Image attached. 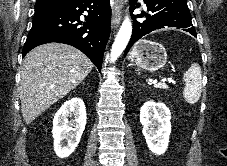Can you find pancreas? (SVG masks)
Here are the masks:
<instances>
[{
  "mask_svg": "<svg viewBox=\"0 0 227 166\" xmlns=\"http://www.w3.org/2000/svg\"><path fill=\"white\" fill-rule=\"evenodd\" d=\"M155 87H156V88H160V89H167V88H168L166 85H164V84H162V83L157 84Z\"/></svg>",
  "mask_w": 227,
  "mask_h": 166,
  "instance_id": "1",
  "label": "pancreas"
}]
</instances>
